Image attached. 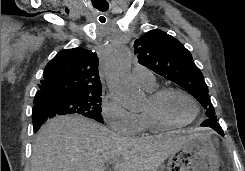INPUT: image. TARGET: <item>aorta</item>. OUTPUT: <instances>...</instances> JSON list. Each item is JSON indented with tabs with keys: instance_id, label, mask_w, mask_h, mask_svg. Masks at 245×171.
<instances>
[{
	"instance_id": "aorta-1",
	"label": "aorta",
	"mask_w": 245,
	"mask_h": 171,
	"mask_svg": "<svg viewBox=\"0 0 245 171\" xmlns=\"http://www.w3.org/2000/svg\"><path fill=\"white\" fill-rule=\"evenodd\" d=\"M132 55L128 48L121 47L109 58L104 76L110 92L128 110L139 111L144 106V94L130 76Z\"/></svg>"
}]
</instances>
